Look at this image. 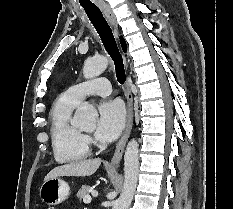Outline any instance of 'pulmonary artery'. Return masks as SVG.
Masks as SVG:
<instances>
[{"label": "pulmonary artery", "mask_w": 233, "mask_h": 209, "mask_svg": "<svg viewBox=\"0 0 233 209\" xmlns=\"http://www.w3.org/2000/svg\"><path fill=\"white\" fill-rule=\"evenodd\" d=\"M66 92L73 100L81 102L92 95L108 96L111 93V86L108 79L99 77L73 85Z\"/></svg>", "instance_id": "pulmonary-artery-1"}]
</instances>
